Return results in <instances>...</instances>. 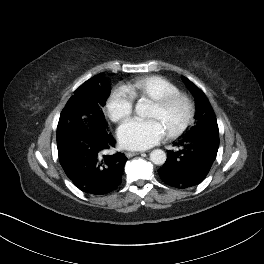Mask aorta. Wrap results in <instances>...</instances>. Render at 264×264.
<instances>
[{"mask_svg":"<svg viewBox=\"0 0 264 264\" xmlns=\"http://www.w3.org/2000/svg\"><path fill=\"white\" fill-rule=\"evenodd\" d=\"M148 105L143 102H138L135 106L137 115L143 117L147 115ZM167 159L166 153L161 149H155L150 153V160L155 165H163Z\"/></svg>","mask_w":264,"mask_h":264,"instance_id":"obj_1","label":"aorta"}]
</instances>
